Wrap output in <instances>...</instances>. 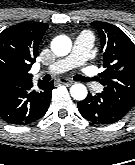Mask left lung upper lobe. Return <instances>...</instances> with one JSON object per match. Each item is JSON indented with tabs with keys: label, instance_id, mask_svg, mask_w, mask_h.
Here are the masks:
<instances>
[{
	"label": "left lung upper lobe",
	"instance_id": "obj_1",
	"mask_svg": "<svg viewBox=\"0 0 135 165\" xmlns=\"http://www.w3.org/2000/svg\"><path fill=\"white\" fill-rule=\"evenodd\" d=\"M91 25L99 32L104 51L105 70L99 74L103 92L131 109L135 106V45L115 25L101 21Z\"/></svg>",
	"mask_w": 135,
	"mask_h": 165
}]
</instances>
